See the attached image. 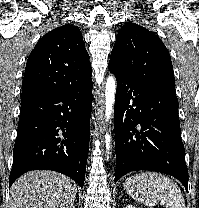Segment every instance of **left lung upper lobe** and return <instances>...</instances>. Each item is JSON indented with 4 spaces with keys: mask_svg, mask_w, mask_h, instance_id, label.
Listing matches in <instances>:
<instances>
[{
    "mask_svg": "<svg viewBox=\"0 0 199 208\" xmlns=\"http://www.w3.org/2000/svg\"><path fill=\"white\" fill-rule=\"evenodd\" d=\"M109 65L133 79L175 95L170 54L153 32L135 24L122 26L111 52Z\"/></svg>",
    "mask_w": 199,
    "mask_h": 208,
    "instance_id": "1",
    "label": "left lung upper lobe"
}]
</instances>
